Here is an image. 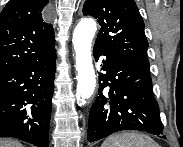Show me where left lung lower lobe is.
<instances>
[{
  "label": "left lung lower lobe",
  "mask_w": 183,
  "mask_h": 147,
  "mask_svg": "<svg viewBox=\"0 0 183 147\" xmlns=\"http://www.w3.org/2000/svg\"><path fill=\"white\" fill-rule=\"evenodd\" d=\"M106 56L100 74L99 90L88 123L89 142L122 130H138L154 135L163 132L159 106L154 98L150 72L123 58L94 46V57ZM109 86L107 96L102 94Z\"/></svg>",
  "instance_id": "left-lung-lower-lobe-1"
}]
</instances>
